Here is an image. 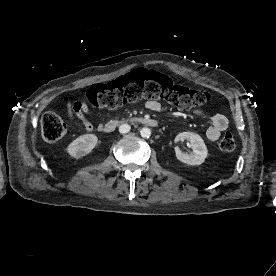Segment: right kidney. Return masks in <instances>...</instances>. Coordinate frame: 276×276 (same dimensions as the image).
<instances>
[{"mask_svg":"<svg viewBox=\"0 0 276 276\" xmlns=\"http://www.w3.org/2000/svg\"><path fill=\"white\" fill-rule=\"evenodd\" d=\"M98 138L94 134H84L72 141L68 147L67 152L71 157L76 159L89 154L97 145Z\"/></svg>","mask_w":276,"mask_h":276,"instance_id":"right-kidney-1","label":"right kidney"}]
</instances>
